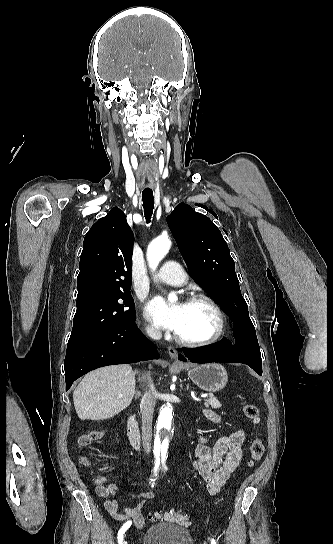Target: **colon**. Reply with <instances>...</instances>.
<instances>
[{
  "mask_svg": "<svg viewBox=\"0 0 333 544\" xmlns=\"http://www.w3.org/2000/svg\"><path fill=\"white\" fill-rule=\"evenodd\" d=\"M244 415L247 419L252 421L254 424L258 425L260 423V411L259 408L254 404H245L243 407ZM100 437V432H91L83 435L79 442L82 446H87L94 440ZM264 454V444L263 441L256 437L250 445V457L248 460V465L253 467L256 465L262 458ZM84 464H87L86 459H82ZM151 521L163 520L179 525H187L189 523L188 514L178 511V510H167V511H153L149 517Z\"/></svg>",
  "mask_w": 333,
  "mask_h": 544,
  "instance_id": "5ec220e1",
  "label": "colon"
}]
</instances>
